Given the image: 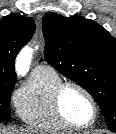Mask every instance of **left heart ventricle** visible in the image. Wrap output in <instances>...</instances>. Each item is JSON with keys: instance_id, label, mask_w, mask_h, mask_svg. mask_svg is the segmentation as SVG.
Masks as SVG:
<instances>
[{"instance_id": "left-heart-ventricle-1", "label": "left heart ventricle", "mask_w": 116, "mask_h": 134, "mask_svg": "<svg viewBox=\"0 0 116 134\" xmlns=\"http://www.w3.org/2000/svg\"><path fill=\"white\" fill-rule=\"evenodd\" d=\"M62 107L65 115L74 123L88 124L93 115L88 98L78 89L69 87L62 96Z\"/></svg>"}]
</instances>
